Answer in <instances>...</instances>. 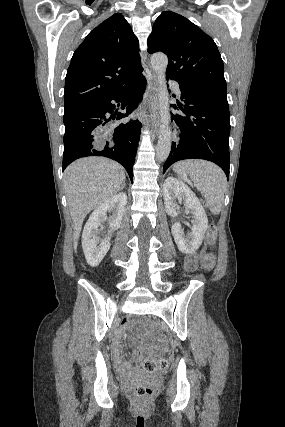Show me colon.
I'll use <instances>...</instances> for the list:
<instances>
[{
    "instance_id": "1",
    "label": "colon",
    "mask_w": 285,
    "mask_h": 427,
    "mask_svg": "<svg viewBox=\"0 0 285 427\" xmlns=\"http://www.w3.org/2000/svg\"><path fill=\"white\" fill-rule=\"evenodd\" d=\"M215 243L216 230L213 227H210L206 234L205 246L201 250L198 257L203 267L207 270L212 269L215 265V257L211 252L207 250V247L214 246ZM139 359L140 364L143 366L144 370L149 373L159 372L165 370L168 367V362L164 358L145 359L142 356H139ZM134 394L139 402H150L154 396V387L150 384L138 385L134 389Z\"/></svg>"
}]
</instances>
